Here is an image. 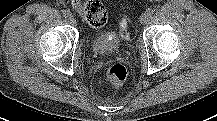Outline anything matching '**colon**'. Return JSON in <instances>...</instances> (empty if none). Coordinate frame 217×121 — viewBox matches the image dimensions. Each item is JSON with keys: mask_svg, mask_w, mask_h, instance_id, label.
<instances>
[{"mask_svg": "<svg viewBox=\"0 0 217 121\" xmlns=\"http://www.w3.org/2000/svg\"><path fill=\"white\" fill-rule=\"evenodd\" d=\"M73 5L80 11L82 18L92 27H103L108 19L107 9L101 0H72ZM120 37L129 40L128 23L125 18L119 21ZM127 69L123 64H112L106 72V78L110 85L119 86L127 78Z\"/></svg>", "mask_w": 217, "mask_h": 121, "instance_id": "1", "label": "colon"}]
</instances>
